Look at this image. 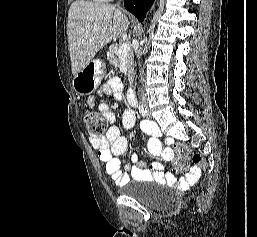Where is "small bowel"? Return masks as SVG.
I'll return each mask as SVG.
<instances>
[{
  "mask_svg": "<svg viewBox=\"0 0 257 237\" xmlns=\"http://www.w3.org/2000/svg\"><path fill=\"white\" fill-rule=\"evenodd\" d=\"M123 83L117 78L109 79L99 89V95H111L116 99L122 96ZM98 100V95H91L87 99L89 105H94ZM99 111L112 124L107 130L105 137H91L90 143L95 149L98 158L105 164L106 173L114 180L117 185H124L129 180L128 172L134 180H153L156 179L168 184H175L177 179L171 172L164 170L160 163L154 162L151 169L144 168V163L139 159L138 155L134 153L131 157V163L122 168L118 156L124 154L129 146V140L126 136L121 134L120 129L113 125L116 122V115L112 111L110 105L106 102L99 104ZM123 125L126 129H131L136 121V114L134 109L128 108L122 115ZM141 128L144 132L152 135L148 144V150L152 155L163 154L164 158L170 159L173 155L170 148L162 147L161 141L157 138L159 131L157 126L150 121H142ZM170 142V140H168ZM187 161V158H185ZM200 175V167L194 166L186 176L187 182L191 183L198 179Z\"/></svg>",
  "mask_w": 257,
  "mask_h": 237,
  "instance_id": "small-bowel-1",
  "label": "small bowel"
}]
</instances>
